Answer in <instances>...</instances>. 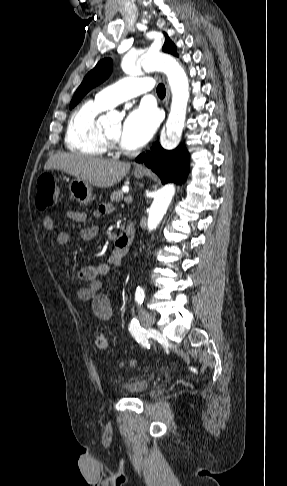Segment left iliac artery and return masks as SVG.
<instances>
[{"label": "left iliac artery", "mask_w": 287, "mask_h": 486, "mask_svg": "<svg viewBox=\"0 0 287 486\" xmlns=\"http://www.w3.org/2000/svg\"><path fill=\"white\" fill-rule=\"evenodd\" d=\"M145 298V293L143 288L137 287L136 293H135V300L138 305H141L143 303V300ZM129 331L131 334L135 337V339L141 343L142 346L149 348L148 340L146 339L144 333L145 331L140 327L139 322L137 319H133L129 325Z\"/></svg>", "instance_id": "44dca946"}]
</instances>
